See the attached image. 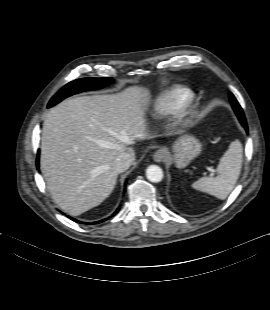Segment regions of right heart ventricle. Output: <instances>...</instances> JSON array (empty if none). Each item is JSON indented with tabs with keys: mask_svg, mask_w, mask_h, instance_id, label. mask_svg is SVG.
I'll return each mask as SVG.
<instances>
[{
	"mask_svg": "<svg viewBox=\"0 0 270 310\" xmlns=\"http://www.w3.org/2000/svg\"><path fill=\"white\" fill-rule=\"evenodd\" d=\"M193 96L192 90L188 87L180 85L172 86L158 93L152 99L149 114L157 118L175 115Z\"/></svg>",
	"mask_w": 270,
	"mask_h": 310,
	"instance_id": "right-heart-ventricle-1",
	"label": "right heart ventricle"
}]
</instances>
